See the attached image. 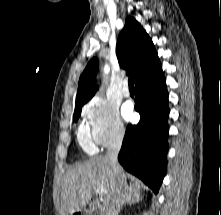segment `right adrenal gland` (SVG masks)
I'll return each instance as SVG.
<instances>
[{"label":"right adrenal gland","instance_id":"obj_1","mask_svg":"<svg viewBox=\"0 0 221 215\" xmlns=\"http://www.w3.org/2000/svg\"><path fill=\"white\" fill-rule=\"evenodd\" d=\"M140 200H142V197H140V194L139 193H135V192H132V191H129L126 195V198L120 208V210H122L123 208V205H126V204H136L138 203Z\"/></svg>","mask_w":221,"mask_h":215}]
</instances>
